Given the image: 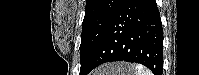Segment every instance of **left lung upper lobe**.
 Segmentation results:
<instances>
[{"instance_id": "obj_1", "label": "left lung upper lobe", "mask_w": 199, "mask_h": 75, "mask_svg": "<svg viewBox=\"0 0 199 75\" xmlns=\"http://www.w3.org/2000/svg\"><path fill=\"white\" fill-rule=\"evenodd\" d=\"M123 0H87L82 24L80 73L89 66L110 20Z\"/></svg>"}]
</instances>
